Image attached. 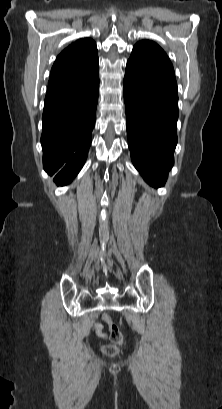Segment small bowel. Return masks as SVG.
I'll use <instances>...</instances> for the list:
<instances>
[{"label":"small bowel","instance_id":"1","mask_svg":"<svg viewBox=\"0 0 222 409\" xmlns=\"http://www.w3.org/2000/svg\"><path fill=\"white\" fill-rule=\"evenodd\" d=\"M94 331L101 338H106V334L103 333V326L101 323L97 322L94 324Z\"/></svg>","mask_w":222,"mask_h":409}]
</instances>
